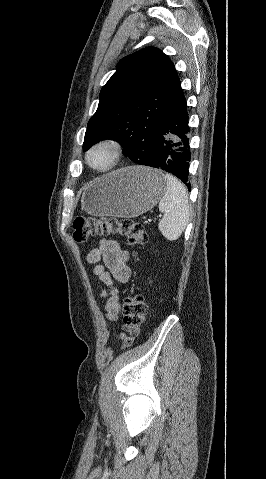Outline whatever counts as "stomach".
Instances as JSON below:
<instances>
[{
    "instance_id": "0dacf381",
    "label": "stomach",
    "mask_w": 266,
    "mask_h": 479,
    "mask_svg": "<svg viewBox=\"0 0 266 479\" xmlns=\"http://www.w3.org/2000/svg\"><path fill=\"white\" fill-rule=\"evenodd\" d=\"M162 171L131 166L114 171L83 190L82 209L92 216L134 218L151 210L165 193Z\"/></svg>"
}]
</instances>
